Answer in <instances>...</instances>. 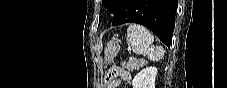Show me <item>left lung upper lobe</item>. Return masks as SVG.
<instances>
[{
	"instance_id": "obj_1",
	"label": "left lung upper lobe",
	"mask_w": 227,
	"mask_h": 88,
	"mask_svg": "<svg viewBox=\"0 0 227 88\" xmlns=\"http://www.w3.org/2000/svg\"><path fill=\"white\" fill-rule=\"evenodd\" d=\"M119 0H102L104 7L108 12L114 14Z\"/></svg>"
}]
</instances>
